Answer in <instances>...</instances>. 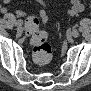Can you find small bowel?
Segmentation results:
<instances>
[{"mask_svg": "<svg viewBox=\"0 0 91 91\" xmlns=\"http://www.w3.org/2000/svg\"><path fill=\"white\" fill-rule=\"evenodd\" d=\"M38 3L42 7H46V5H47V1L46 0H38ZM82 11H83L82 3L79 0H72L71 4H70V7L68 9V14L69 15H76V14L82 12ZM1 12L2 13H6L7 9L5 7H2L1 8ZM15 13H16L17 16H24L25 15V12L22 11V10H16ZM39 15H46V13H45L44 10H42V11H40Z\"/></svg>", "mask_w": 91, "mask_h": 91, "instance_id": "obj_1", "label": "small bowel"}]
</instances>
